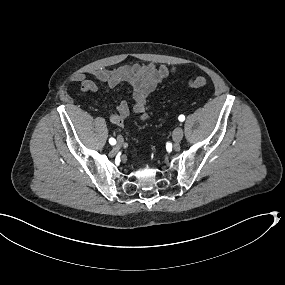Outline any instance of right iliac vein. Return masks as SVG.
I'll use <instances>...</instances> for the list:
<instances>
[{"instance_id": "63e3f726", "label": "right iliac vein", "mask_w": 285, "mask_h": 285, "mask_svg": "<svg viewBox=\"0 0 285 285\" xmlns=\"http://www.w3.org/2000/svg\"><path fill=\"white\" fill-rule=\"evenodd\" d=\"M123 142H124V139L122 137L118 136L116 145L121 146L123 144Z\"/></svg>"}]
</instances>
